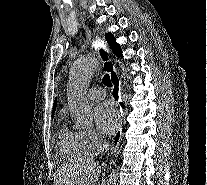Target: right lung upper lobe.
Here are the masks:
<instances>
[{
	"label": "right lung upper lobe",
	"mask_w": 207,
	"mask_h": 185,
	"mask_svg": "<svg viewBox=\"0 0 207 185\" xmlns=\"http://www.w3.org/2000/svg\"><path fill=\"white\" fill-rule=\"evenodd\" d=\"M56 106H57V101L54 102L53 113L55 112ZM53 116H54V115H53ZM53 116H52V117H53Z\"/></svg>",
	"instance_id": "right-lung-upper-lobe-1"
}]
</instances>
